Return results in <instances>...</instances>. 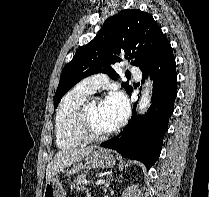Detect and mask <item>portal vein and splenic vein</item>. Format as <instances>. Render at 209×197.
Instances as JSON below:
<instances>
[{"mask_svg": "<svg viewBox=\"0 0 209 197\" xmlns=\"http://www.w3.org/2000/svg\"><path fill=\"white\" fill-rule=\"evenodd\" d=\"M105 180H98L97 182H95V185H101L104 184Z\"/></svg>", "mask_w": 209, "mask_h": 197, "instance_id": "18ae733b", "label": "portal vein and splenic vein"}]
</instances>
